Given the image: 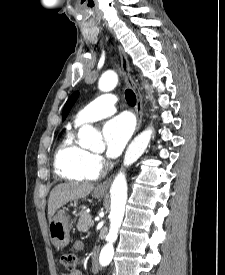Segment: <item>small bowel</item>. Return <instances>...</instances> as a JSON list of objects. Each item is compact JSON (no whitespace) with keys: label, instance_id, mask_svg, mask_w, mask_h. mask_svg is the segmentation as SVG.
I'll return each instance as SVG.
<instances>
[{"label":"small bowel","instance_id":"obj_1","mask_svg":"<svg viewBox=\"0 0 225 275\" xmlns=\"http://www.w3.org/2000/svg\"><path fill=\"white\" fill-rule=\"evenodd\" d=\"M76 247L79 248L80 245L77 244ZM62 275H82V273H81L79 270H74V271H71V272H69V273H64V274H62Z\"/></svg>","mask_w":225,"mask_h":275}]
</instances>
